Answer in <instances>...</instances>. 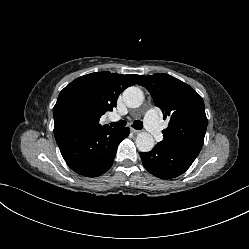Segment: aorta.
Here are the masks:
<instances>
[{"label": "aorta", "mask_w": 249, "mask_h": 249, "mask_svg": "<svg viewBox=\"0 0 249 249\" xmlns=\"http://www.w3.org/2000/svg\"><path fill=\"white\" fill-rule=\"evenodd\" d=\"M123 100L130 108L141 106L144 95L141 89L135 86L128 87L123 92ZM155 142L151 134L147 132L139 133L136 137V146L141 152H149L154 148Z\"/></svg>", "instance_id": "762f6f07"}]
</instances>
